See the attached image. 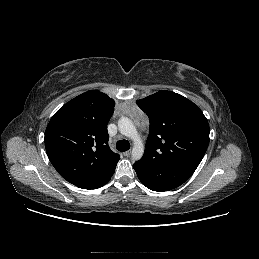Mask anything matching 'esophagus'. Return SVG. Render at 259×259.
<instances>
[{
  "label": "esophagus",
  "mask_w": 259,
  "mask_h": 259,
  "mask_svg": "<svg viewBox=\"0 0 259 259\" xmlns=\"http://www.w3.org/2000/svg\"><path fill=\"white\" fill-rule=\"evenodd\" d=\"M131 155V150H128V151H126V152H124V156H130Z\"/></svg>",
  "instance_id": "34e87169"
}]
</instances>
